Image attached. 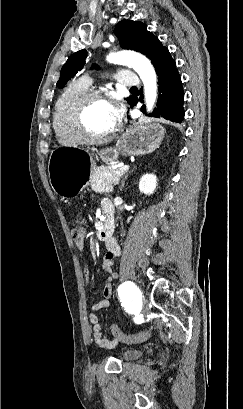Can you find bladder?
I'll return each instance as SVG.
<instances>
[{
  "mask_svg": "<svg viewBox=\"0 0 243 409\" xmlns=\"http://www.w3.org/2000/svg\"><path fill=\"white\" fill-rule=\"evenodd\" d=\"M143 351L140 349H126L121 353V359L124 361H132L141 357Z\"/></svg>",
  "mask_w": 243,
  "mask_h": 409,
  "instance_id": "1",
  "label": "bladder"
}]
</instances>
